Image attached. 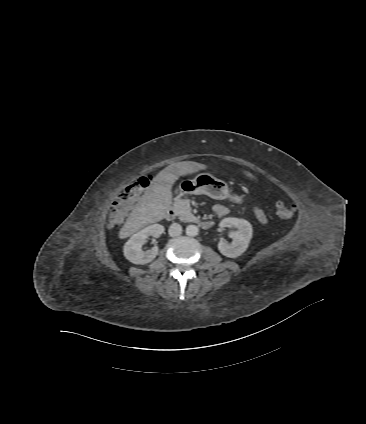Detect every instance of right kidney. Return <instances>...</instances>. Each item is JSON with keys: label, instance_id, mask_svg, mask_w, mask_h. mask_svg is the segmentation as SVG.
Returning a JSON list of instances; mask_svg holds the SVG:
<instances>
[{"label": "right kidney", "instance_id": "right-kidney-1", "mask_svg": "<svg viewBox=\"0 0 366 424\" xmlns=\"http://www.w3.org/2000/svg\"><path fill=\"white\" fill-rule=\"evenodd\" d=\"M164 232V226L153 224L145 227L130 237L123 247L124 256L134 264L144 265L158 255V247L143 251L142 246L149 236L159 237Z\"/></svg>", "mask_w": 366, "mask_h": 424}]
</instances>
